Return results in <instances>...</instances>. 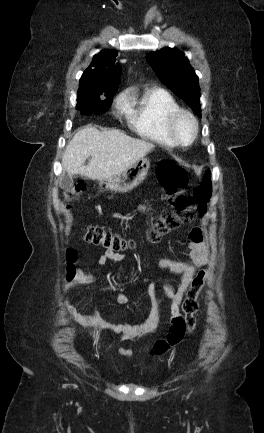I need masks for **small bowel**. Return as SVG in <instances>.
Wrapping results in <instances>:
<instances>
[{"instance_id": "c3829d8e", "label": "small bowel", "mask_w": 264, "mask_h": 433, "mask_svg": "<svg viewBox=\"0 0 264 433\" xmlns=\"http://www.w3.org/2000/svg\"><path fill=\"white\" fill-rule=\"evenodd\" d=\"M146 205L142 204L141 209L146 210ZM124 256L105 250L98 258V265L105 266L107 262H120ZM208 261V250L204 243L201 229L194 228L187 237L186 259L160 258V268L167 270L179 277L177 288L169 284H162V296L157 297L155 285L149 283L147 286L148 294L152 300V310L150 314L140 323L132 324L128 322L114 323L109 319L101 317L96 311L91 315L81 314L68 300H65V306L69 314L80 325L99 327L121 334V341L130 340L136 337L144 336L154 331L159 325L161 319V304L163 301L170 302L171 326L164 339L158 340L152 347L143 351L141 354L154 358L160 356L179 344L186 333L184 316L180 313L179 305L190 286L196 271L204 266ZM99 275L78 270L69 280L67 287L72 288L81 285H90L97 282ZM116 301L119 305L128 302V296L121 292L117 295ZM114 348V345H110ZM118 354L123 357H132L133 353L127 349H118Z\"/></svg>"}]
</instances>
